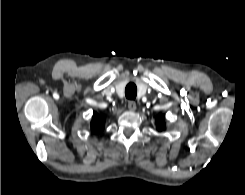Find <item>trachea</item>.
<instances>
[{
  "mask_svg": "<svg viewBox=\"0 0 245 195\" xmlns=\"http://www.w3.org/2000/svg\"><path fill=\"white\" fill-rule=\"evenodd\" d=\"M137 95V87L134 83L127 84L125 88V96L130 100H134Z\"/></svg>",
  "mask_w": 245,
  "mask_h": 195,
  "instance_id": "3493384b",
  "label": "trachea"
}]
</instances>
